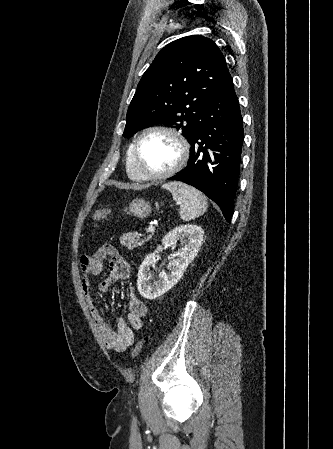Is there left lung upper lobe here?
<instances>
[{"mask_svg":"<svg viewBox=\"0 0 333 449\" xmlns=\"http://www.w3.org/2000/svg\"><path fill=\"white\" fill-rule=\"evenodd\" d=\"M231 78L211 39L192 35L166 45L142 76L129 105L124 137L152 123H164L192 140L214 94Z\"/></svg>","mask_w":333,"mask_h":449,"instance_id":"obj_1","label":"left lung upper lobe"}]
</instances>
